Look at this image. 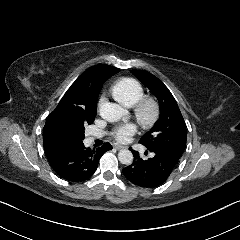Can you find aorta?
Listing matches in <instances>:
<instances>
[{"label": "aorta", "mask_w": 240, "mask_h": 240, "mask_svg": "<svg viewBox=\"0 0 240 240\" xmlns=\"http://www.w3.org/2000/svg\"><path fill=\"white\" fill-rule=\"evenodd\" d=\"M100 116L108 122H117L126 110L116 103H103L99 108ZM118 159L122 164L130 165L133 161V154L128 149H122L118 153Z\"/></svg>", "instance_id": "aorta-1"}]
</instances>
